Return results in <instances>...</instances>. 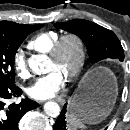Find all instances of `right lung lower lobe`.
<instances>
[{
	"mask_svg": "<svg viewBox=\"0 0 130 130\" xmlns=\"http://www.w3.org/2000/svg\"><path fill=\"white\" fill-rule=\"evenodd\" d=\"M21 94V89L14 84L0 82V130H19L18 123L21 117L38 106L37 102L28 98L22 99L19 104H7L8 99Z\"/></svg>",
	"mask_w": 130,
	"mask_h": 130,
	"instance_id": "obj_1",
	"label": "right lung lower lobe"
}]
</instances>
